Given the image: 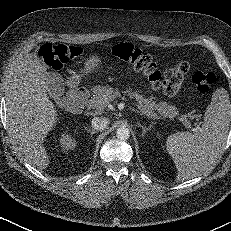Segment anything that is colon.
I'll use <instances>...</instances> for the list:
<instances>
[{"label":"colon","mask_w":231,"mask_h":231,"mask_svg":"<svg viewBox=\"0 0 231 231\" xmlns=\"http://www.w3.org/2000/svg\"><path fill=\"white\" fill-rule=\"evenodd\" d=\"M81 54V48L62 43L44 44L40 50L45 64L54 70H60L64 64ZM112 54L144 74L152 84L161 86L168 95H175L180 91L184 77L189 71V63L181 61L161 73L148 53L129 43L116 44L112 48ZM214 82L215 75L212 72L196 71L192 75V83L196 90L202 94L207 93ZM51 92L62 104L61 85L55 84Z\"/></svg>","instance_id":"1"}]
</instances>
